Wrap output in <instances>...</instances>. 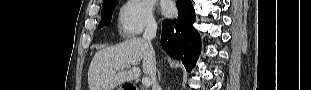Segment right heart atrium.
I'll return each mask as SVG.
<instances>
[{
	"label": "right heart atrium",
	"instance_id": "obj_1",
	"mask_svg": "<svg viewBox=\"0 0 311 90\" xmlns=\"http://www.w3.org/2000/svg\"><path fill=\"white\" fill-rule=\"evenodd\" d=\"M156 28L153 7L147 0L126 1L119 10L118 29L125 38H135Z\"/></svg>",
	"mask_w": 311,
	"mask_h": 90
}]
</instances>
